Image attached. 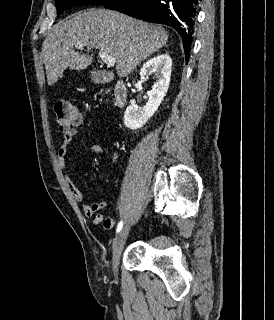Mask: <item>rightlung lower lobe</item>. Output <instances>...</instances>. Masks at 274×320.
<instances>
[{"instance_id": "obj_1", "label": "right lung lower lobe", "mask_w": 274, "mask_h": 320, "mask_svg": "<svg viewBox=\"0 0 274 320\" xmlns=\"http://www.w3.org/2000/svg\"><path fill=\"white\" fill-rule=\"evenodd\" d=\"M198 0H111L105 8L151 23L171 26L180 34L186 60L193 41Z\"/></svg>"}]
</instances>
